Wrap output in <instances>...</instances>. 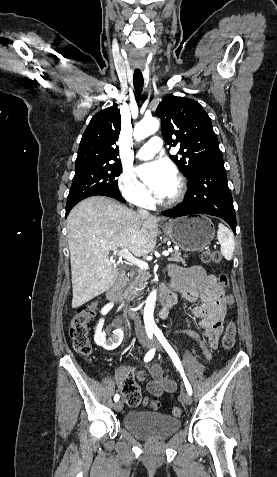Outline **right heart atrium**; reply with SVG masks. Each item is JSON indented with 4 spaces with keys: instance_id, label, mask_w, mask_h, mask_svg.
Here are the masks:
<instances>
[{
    "instance_id": "1",
    "label": "right heart atrium",
    "mask_w": 277,
    "mask_h": 477,
    "mask_svg": "<svg viewBox=\"0 0 277 477\" xmlns=\"http://www.w3.org/2000/svg\"><path fill=\"white\" fill-rule=\"evenodd\" d=\"M119 190L123 198L130 204L147 207L152 199L148 190L140 184L131 170H123L119 177Z\"/></svg>"
}]
</instances>
